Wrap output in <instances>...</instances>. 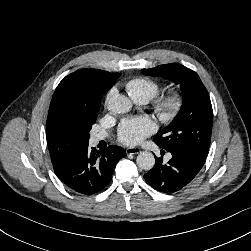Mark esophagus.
I'll use <instances>...</instances> for the list:
<instances>
[{
	"mask_svg": "<svg viewBox=\"0 0 251 251\" xmlns=\"http://www.w3.org/2000/svg\"><path fill=\"white\" fill-rule=\"evenodd\" d=\"M141 152V149L138 147H128L126 148V153L129 154H138Z\"/></svg>",
	"mask_w": 251,
	"mask_h": 251,
	"instance_id": "1",
	"label": "esophagus"
}]
</instances>
